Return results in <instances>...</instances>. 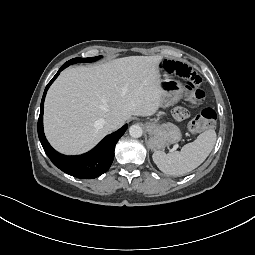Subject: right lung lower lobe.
I'll use <instances>...</instances> for the list:
<instances>
[{
	"label": "right lung lower lobe",
	"mask_w": 255,
	"mask_h": 255,
	"mask_svg": "<svg viewBox=\"0 0 255 255\" xmlns=\"http://www.w3.org/2000/svg\"><path fill=\"white\" fill-rule=\"evenodd\" d=\"M69 65H71V63L66 62L45 88L38 119V136L46 155L56 167L80 179H93L102 175L110 168L114 159L115 145L125 133L127 124L118 131L106 136L94 149L83 155L66 156L58 153L50 146L43 132L44 100L49 86L57 78L59 73Z\"/></svg>",
	"instance_id": "obj_1"
}]
</instances>
